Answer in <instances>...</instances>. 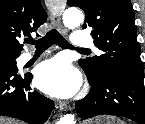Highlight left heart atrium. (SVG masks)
Segmentation results:
<instances>
[{
  "label": "left heart atrium",
  "instance_id": "1",
  "mask_svg": "<svg viewBox=\"0 0 145 124\" xmlns=\"http://www.w3.org/2000/svg\"><path fill=\"white\" fill-rule=\"evenodd\" d=\"M35 82L42 91L55 97L67 98L78 91L81 78L65 58L55 57L37 67Z\"/></svg>",
  "mask_w": 145,
  "mask_h": 124
}]
</instances>
